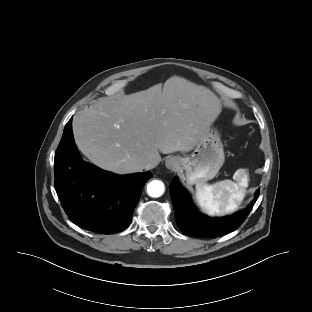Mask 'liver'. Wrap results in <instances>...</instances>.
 I'll return each mask as SVG.
<instances>
[{"instance_id": "liver-1", "label": "liver", "mask_w": 312, "mask_h": 312, "mask_svg": "<svg viewBox=\"0 0 312 312\" xmlns=\"http://www.w3.org/2000/svg\"><path fill=\"white\" fill-rule=\"evenodd\" d=\"M222 111L209 89L173 76L163 85L101 98L74 116L78 149L94 165L116 174L141 172L160 153L188 152Z\"/></svg>"}]
</instances>
